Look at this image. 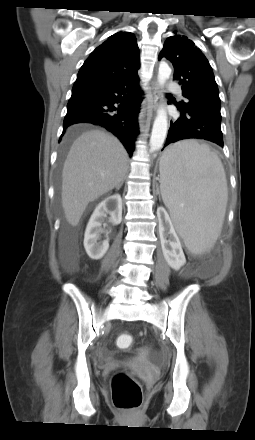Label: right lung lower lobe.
<instances>
[{
    "instance_id": "obj_1",
    "label": "right lung lower lobe",
    "mask_w": 255,
    "mask_h": 440,
    "mask_svg": "<svg viewBox=\"0 0 255 440\" xmlns=\"http://www.w3.org/2000/svg\"><path fill=\"white\" fill-rule=\"evenodd\" d=\"M140 95L138 74L105 87L72 93L63 122V134L67 127L76 123L100 125L117 136L132 155L139 133L137 115L142 100Z\"/></svg>"
}]
</instances>
